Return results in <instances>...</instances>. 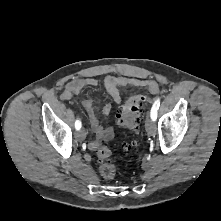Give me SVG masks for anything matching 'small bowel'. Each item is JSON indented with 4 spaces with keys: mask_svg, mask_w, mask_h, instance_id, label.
Masks as SVG:
<instances>
[{
    "mask_svg": "<svg viewBox=\"0 0 221 221\" xmlns=\"http://www.w3.org/2000/svg\"><path fill=\"white\" fill-rule=\"evenodd\" d=\"M97 84L98 81L92 77L70 81L65 85L64 91L61 94V98L63 100H69L73 96L87 89L96 87ZM128 86L130 87L147 86L151 90L156 89L154 81L144 80L135 77L107 76L103 81V87L105 89L106 94L113 101V103L117 105H120L122 102L120 88ZM84 107L86 108L89 114L92 130L95 132V137L89 142V148L91 150H96L101 142L111 139L114 135V129L112 126L103 127L99 121L100 115H109L111 113L112 103H106L102 107V109L99 110L96 103L93 100L87 99L84 101ZM118 116L119 114L117 115V120L118 123L121 125Z\"/></svg>",
    "mask_w": 221,
    "mask_h": 221,
    "instance_id": "obj_1",
    "label": "small bowel"
}]
</instances>
